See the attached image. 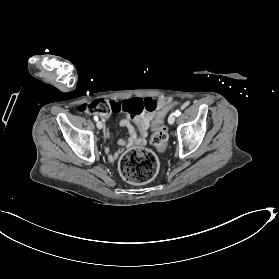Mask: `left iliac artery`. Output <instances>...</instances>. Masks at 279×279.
<instances>
[{
    "label": "left iliac artery",
    "mask_w": 279,
    "mask_h": 279,
    "mask_svg": "<svg viewBox=\"0 0 279 279\" xmlns=\"http://www.w3.org/2000/svg\"><path fill=\"white\" fill-rule=\"evenodd\" d=\"M174 114H175V116L177 117V116L180 115V111H179V110H176Z\"/></svg>",
    "instance_id": "left-iliac-artery-1"
}]
</instances>
